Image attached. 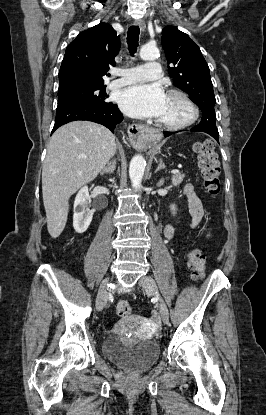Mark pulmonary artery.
<instances>
[{
	"label": "pulmonary artery",
	"mask_w": 266,
	"mask_h": 415,
	"mask_svg": "<svg viewBox=\"0 0 266 415\" xmlns=\"http://www.w3.org/2000/svg\"><path fill=\"white\" fill-rule=\"evenodd\" d=\"M115 74L120 77L109 84L112 89L138 82L156 80L160 78L161 66L158 62H148L144 65L117 70Z\"/></svg>",
	"instance_id": "pulmonary-artery-1"
}]
</instances>
